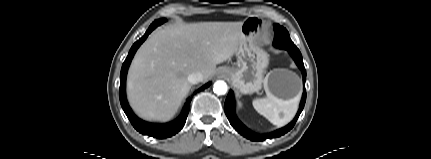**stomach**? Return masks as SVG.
Instances as JSON below:
<instances>
[{
    "label": "stomach",
    "instance_id": "obj_1",
    "mask_svg": "<svg viewBox=\"0 0 431 159\" xmlns=\"http://www.w3.org/2000/svg\"><path fill=\"white\" fill-rule=\"evenodd\" d=\"M263 29V20L249 16L242 22V41L236 52L237 63L226 67L232 85L243 94L258 92L264 87L275 97L289 100L300 94L301 81L287 70L271 71L265 78L268 54L259 47L257 39Z\"/></svg>",
    "mask_w": 431,
    "mask_h": 159
}]
</instances>
